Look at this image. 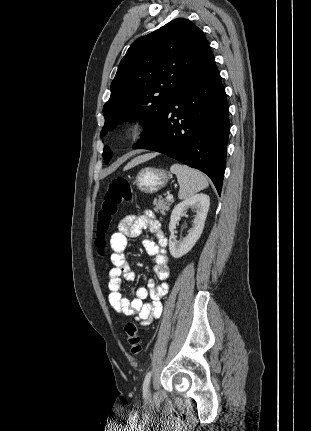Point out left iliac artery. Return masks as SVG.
Instances as JSON below:
<instances>
[{
  "mask_svg": "<svg viewBox=\"0 0 311 431\" xmlns=\"http://www.w3.org/2000/svg\"><path fill=\"white\" fill-rule=\"evenodd\" d=\"M150 378H151V371H149L146 374L144 382H143V395L144 396H146L147 393H148V386H149V383H150Z\"/></svg>",
  "mask_w": 311,
  "mask_h": 431,
  "instance_id": "44dca946",
  "label": "left iliac artery"
}]
</instances>
